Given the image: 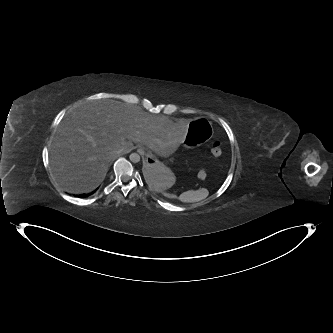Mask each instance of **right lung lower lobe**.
Returning <instances> with one entry per match:
<instances>
[{
  "mask_svg": "<svg viewBox=\"0 0 333 333\" xmlns=\"http://www.w3.org/2000/svg\"><path fill=\"white\" fill-rule=\"evenodd\" d=\"M86 195L85 194H83V195H79L78 197H85Z\"/></svg>",
  "mask_w": 333,
  "mask_h": 333,
  "instance_id": "1",
  "label": "right lung lower lobe"
}]
</instances>
